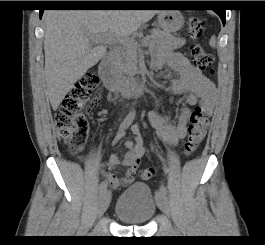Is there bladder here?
Listing matches in <instances>:
<instances>
[{
	"label": "bladder",
	"instance_id": "obj_1",
	"mask_svg": "<svg viewBox=\"0 0 265 245\" xmlns=\"http://www.w3.org/2000/svg\"><path fill=\"white\" fill-rule=\"evenodd\" d=\"M158 207L157 199L145 184H133L122 191L115 205V215L124 224L142 225Z\"/></svg>",
	"mask_w": 265,
	"mask_h": 245
}]
</instances>
